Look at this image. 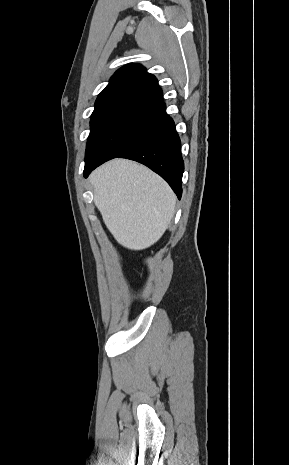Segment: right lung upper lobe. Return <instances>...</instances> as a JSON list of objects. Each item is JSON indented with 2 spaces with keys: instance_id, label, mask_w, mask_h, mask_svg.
Wrapping results in <instances>:
<instances>
[{
  "instance_id": "obj_1",
  "label": "right lung upper lobe",
  "mask_w": 289,
  "mask_h": 465,
  "mask_svg": "<svg viewBox=\"0 0 289 465\" xmlns=\"http://www.w3.org/2000/svg\"><path fill=\"white\" fill-rule=\"evenodd\" d=\"M124 103L165 106L157 79L139 64L123 66L111 77L109 84L98 95L92 114Z\"/></svg>"
}]
</instances>
